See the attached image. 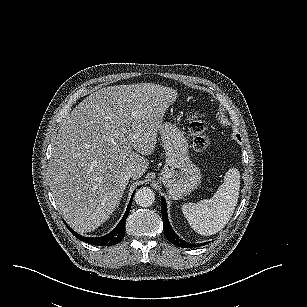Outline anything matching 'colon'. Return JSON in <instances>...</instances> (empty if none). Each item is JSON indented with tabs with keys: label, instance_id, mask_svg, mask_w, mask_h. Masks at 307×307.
<instances>
[{
	"label": "colon",
	"instance_id": "1",
	"mask_svg": "<svg viewBox=\"0 0 307 307\" xmlns=\"http://www.w3.org/2000/svg\"><path fill=\"white\" fill-rule=\"evenodd\" d=\"M189 130L193 136V147L196 151H204L211 144L209 125L203 113L191 111L188 115Z\"/></svg>",
	"mask_w": 307,
	"mask_h": 307
}]
</instances>
